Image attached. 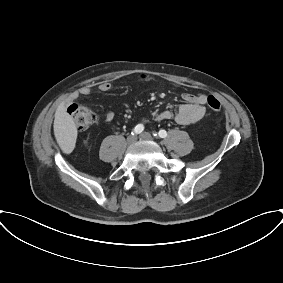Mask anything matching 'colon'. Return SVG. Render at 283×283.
I'll return each instance as SVG.
<instances>
[{"label": "colon", "instance_id": "1", "mask_svg": "<svg viewBox=\"0 0 283 283\" xmlns=\"http://www.w3.org/2000/svg\"><path fill=\"white\" fill-rule=\"evenodd\" d=\"M207 105L214 113L220 111V102L213 95L207 97ZM67 113L79 129H86L95 121V116L89 109L77 104L70 105L67 109Z\"/></svg>", "mask_w": 283, "mask_h": 283}]
</instances>
